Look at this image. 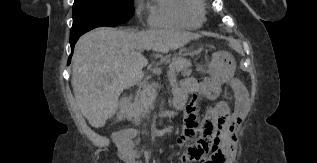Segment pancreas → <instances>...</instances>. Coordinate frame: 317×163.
Returning a JSON list of instances; mask_svg holds the SVG:
<instances>
[{
  "label": "pancreas",
  "instance_id": "obj_1",
  "mask_svg": "<svg viewBox=\"0 0 317 163\" xmlns=\"http://www.w3.org/2000/svg\"><path fill=\"white\" fill-rule=\"evenodd\" d=\"M192 63L183 57H175L169 65V71H176L188 76L192 73ZM157 92L152 85L147 84L143 90L138 92L134 102L126 112V118L135 124H139L142 119L148 118L150 111L154 108Z\"/></svg>",
  "mask_w": 317,
  "mask_h": 163
}]
</instances>
